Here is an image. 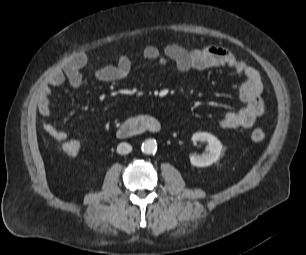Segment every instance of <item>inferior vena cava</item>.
Listing matches in <instances>:
<instances>
[{
	"label": "inferior vena cava",
	"instance_id": "inferior-vena-cava-1",
	"mask_svg": "<svg viewBox=\"0 0 306 255\" xmlns=\"http://www.w3.org/2000/svg\"><path fill=\"white\" fill-rule=\"evenodd\" d=\"M132 151V146L128 143H120L117 146V152L121 155L128 154Z\"/></svg>",
	"mask_w": 306,
	"mask_h": 255
}]
</instances>
